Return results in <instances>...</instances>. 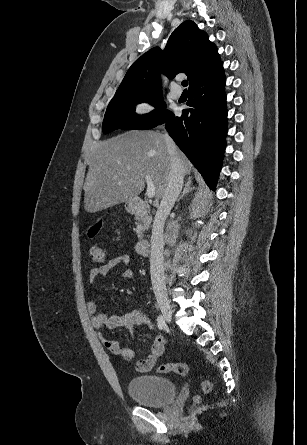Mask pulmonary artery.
<instances>
[{
    "mask_svg": "<svg viewBox=\"0 0 307 445\" xmlns=\"http://www.w3.org/2000/svg\"><path fill=\"white\" fill-rule=\"evenodd\" d=\"M177 80H179V78H177ZM170 92L176 98H178L181 94L180 90H178L177 88H171Z\"/></svg>",
    "mask_w": 307,
    "mask_h": 445,
    "instance_id": "obj_1",
    "label": "pulmonary artery"
}]
</instances>
